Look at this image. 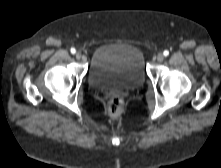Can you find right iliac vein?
<instances>
[{
  "instance_id": "63e3f726",
  "label": "right iliac vein",
  "mask_w": 221,
  "mask_h": 168,
  "mask_svg": "<svg viewBox=\"0 0 221 168\" xmlns=\"http://www.w3.org/2000/svg\"><path fill=\"white\" fill-rule=\"evenodd\" d=\"M75 57H76V59L79 60V59H81L82 55L80 52H76Z\"/></svg>"
}]
</instances>
